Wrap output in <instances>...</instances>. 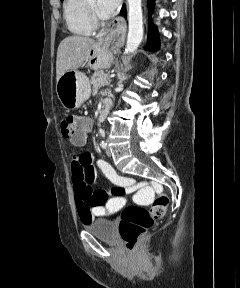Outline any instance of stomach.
Returning <instances> with one entry per match:
<instances>
[{"instance_id":"obj_1","label":"stomach","mask_w":240,"mask_h":288,"mask_svg":"<svg viewBox=\"0 0 240 288\" xmlns=\"http://www.w3.org/2000/svg\"><path fill=\"white\" fill-rule=\"evenodd\" d=\"M112 60L109 44L100 40L89 49L85 64L91 69L99 70L110 67ZM56 93L64 108H77L90 97L89 79L80 71H67L57 81Z\"/></svg>"}]
</instances>
